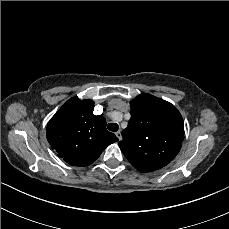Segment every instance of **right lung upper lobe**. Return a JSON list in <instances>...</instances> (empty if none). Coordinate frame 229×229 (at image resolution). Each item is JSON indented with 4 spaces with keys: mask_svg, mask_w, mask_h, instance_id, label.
Here are the masks:
<instances>
[{
    "mask_svg": "<svg viewBox=\"0 0 229 229\" xmlns=\"http://www.w3.org/2000/svg\"><path fill=\"white\" fill-rule=\"evenodd\" d=\"M94 102L69 99L47 125V140L58 156L73 166H88L110 144L117 142L115 134L106 130L103 116L93 114Z\"/></svg>",
    "mask_w": 229,
    "mask_h": 229,
    "instance_id": "1",
    "label": "right lung upper lobe"
}]
</instances>
